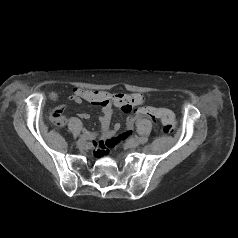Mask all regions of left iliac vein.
Segmentation results:
<instances>
[{
	"instance_id": "left-iliac-vein-1",
	"label": "left iliac vein",
	"mask_w": 238,
	"mask_h": 238,
	"mask_svg": "<svg viewBox=\"0 0 238 238\" xmlns=\"http://www.w3.org/2000/svg\"><path fill=\"white\" fill-rule=\"evenodd\" d=\"M139 145L138 141L135 139H130L126 142L125 146L127 148H136Z\"/></svg>"
}]
</instances>
